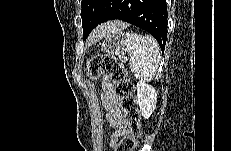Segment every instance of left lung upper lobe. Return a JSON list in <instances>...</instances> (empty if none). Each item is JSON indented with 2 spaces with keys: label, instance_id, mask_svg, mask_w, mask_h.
I'll return each mask as SVG.
<instances>
[{
  "label": "left lung upper lobe",
  "instance_id": "5c2ea615",
  "mask_svg": "<svg viewBox=\"0 0 231 151\" xmlns=\"http://www.w3.org/2000/svg\"><path fill=\"white\" fill-rule=\"evenodd\" d=\"M114 2L115 0H82L83 37H87L100 20L108 14Z\"/></svg>",
  "mask_w": 231,
  "mask_h": 151
}]
</instances>
